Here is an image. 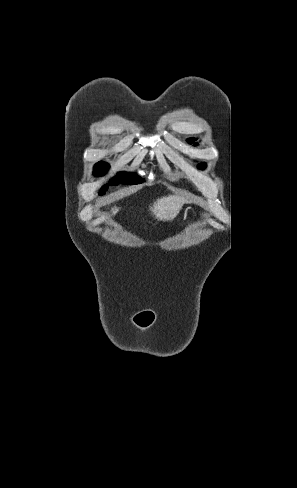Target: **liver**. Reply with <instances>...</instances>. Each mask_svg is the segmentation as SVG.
<instances>
[{"mask_svg":"<svg viewBox=\"0 0 297 488\" xmlns=\"http://www.w3.org/2000/svg\"><path fill=\"white\" fill-rule=\"evenodd\" d=\"M182 204V198L179 196H166L158 199L154 202L153 206L150 207L151 212L159 220H168L175 215V213L180 209ZM118 211V208H112L113 214Z\"/></svg>","mask_w":297,"mask_h":488,"instance_id":"6515ba94","label":"liver"}]
</instances>
